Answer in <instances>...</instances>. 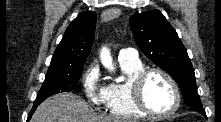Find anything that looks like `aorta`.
<instances>
[{"mask_svg":"<svg viewBox=\"0 0 221 122\" xmlns=\"http://www.w3.org/2000/svg\"><path fill=\"white\" fill-rule=\"evenodd\" d=\"M102 64L110 70H113L112 59L107 49H104L101 53Z\"/></svg>","mask_w":221,"mask_h":122,"instance_id":"762f6f07","label":"aorta"}]
</instances>
